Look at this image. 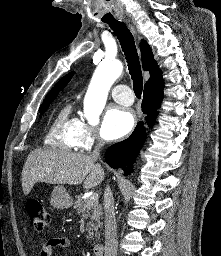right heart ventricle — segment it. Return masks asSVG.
I'll list each match as a JSON object with an SVG mask.
<instances>
[{
    "label": "right heart ventricle",
    "instance_id": "right-heart-ventricle-1",
    "mask_svg": "<svg viewBox=\"0 0 221 256\" xmlns=\"http://www.w3.org/2000/svg\"><path fill=\"white\" fill-rule=\"evenodd\" d=\"M76 120L72 115L69 104L63 106L53 117L48 128L45 142L49 146L64 150L76 148L74 139V129Z\"/></svg>",
    "mask_w": 221,
    "mask_h": 256
}]
</instances>
